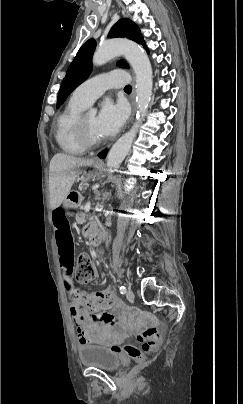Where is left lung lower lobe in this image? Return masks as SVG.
Returning <instances> with one entry per match:
<instances>
[{"label":"left lung lower lobe","instance_id":"1","mask_svg":"<svg viewBox=\"0 0 243 404\" xmlns=\"http://www.w3.org/2000/svg\"><path fill=\"white\" fill-rule=\"evenodd\" d=\"M106 154H107V150L105 149V150H103L101 153H99V157L100 158H104L105 156H106Z\"/></svg>","mask_w":243,"mask_h":404}]
</instances>
